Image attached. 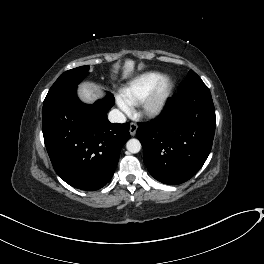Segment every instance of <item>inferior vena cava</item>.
<instances>
[{"instance_id": "inferior-vena-cava-1", "label": "inferior vena cava", "mask_w": 264, "mask_h": 264, "mask_svg": "<svg viewBox=\"0 0 264 264\" xmlns=\"http://www.w3.org/2000/svg\"><path fill=\"white\" fill-rule=\"evenodd\" d=\"M108 119L112 123H125L126 116L118 109H113L108 114Z\"/></svg>"}]
</instances>
